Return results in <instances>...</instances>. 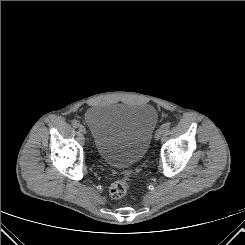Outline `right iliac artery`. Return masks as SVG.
I'll return each instance as SVG.
<instances>
[{
    "mask_svg": "<svg viewBox=\"0 0 245 245\" xmlns=\"http://www.w3.org/2000/svg\"><path fill=\"white\" fill-rule=\"evenodd\" d=\"M72 125H73V127H75V128H77V127H79L80 126V123H79V121L78 120H72Z\"/></svg>",
    "mask_w": 245,
    "mask_h": 245,
    "instance_id": "82829eb1",
    "label": "right iliac artery"
}]
</instances>
